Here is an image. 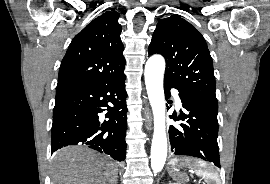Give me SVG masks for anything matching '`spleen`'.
<instances>
[{
	"label": "spleen",
	"instance_id": "1",
	"mask_svg": "<svg viewBox=\"0 0 270 184\" xmlns=\"http://www.w3.org/2000/svg\"><path fill=\"white\" fill-rule=\"evenodd\" d=\"M193 169L201 176L207 184H221L217 173L207 167V164L203 161H198L192 166Z\"/></svg>",
	"mask_w": 270,
	"mask_h": 184
}]
</instances>
